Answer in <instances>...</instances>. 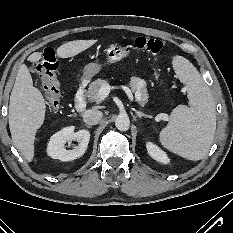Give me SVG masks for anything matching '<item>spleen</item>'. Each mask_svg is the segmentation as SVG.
Segmentation results:
<instances>
[{
  "mask_svg": "<svg viewBox=\"0 0 233 233\" xmlns=\"http://www.w3.org/2000/svg\"><path fill=\"white\" fill-rule=\"evenodd\" d=\"M173 67L185 85L190 107L180 105L173 110L159 139L169 151L188 160H201L208 153L216 131L214 99L196 67L186 58L176 56Z\"/></svg>",
  "mask_w": 233,
  "mask_h": 233,
  "instance_id": "1",
  "label": "spleen"
}]
</instances>
